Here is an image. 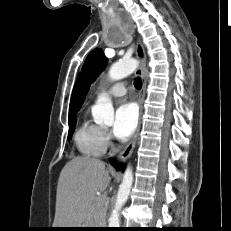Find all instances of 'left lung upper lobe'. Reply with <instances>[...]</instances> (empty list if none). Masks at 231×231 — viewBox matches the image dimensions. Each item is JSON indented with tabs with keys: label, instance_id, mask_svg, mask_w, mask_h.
Segmentation results:
<instances>
[{
	"label": "left lung upper lobe",
	"instance_id": "obj_1",
	"mask_svg": "<svg viewBox=\"0 0 231 231\" xmlns=\"http://www.w3.org/2000/svg\"><path fill=\"white\" fill-rule=\"evenodd\" d=\"M107 63V59L102 49H94L87 56L85 63L82 68L79 94H78V106L83 104L87 92L90 88L91 83L97 77L98 73L101 72Z\"/></svg>",
	"mask_w": 231,
	"mask_h": 231
}]
</instances>
